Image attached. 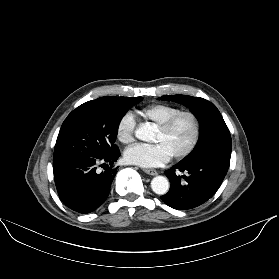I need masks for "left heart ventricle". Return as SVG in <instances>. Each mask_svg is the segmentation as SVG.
I'll return each mask as SVG.
<instances>
[{"instance_id":"b2bd125f","label":"left heart ventricle","mask_w":279,"mask_h":279,"mask_svg":"<svg viewBox=\"0 0 279 279\" xmlns=\"http://www.w3.org/2000/svg\"><path fill=\"white\" fill-rule=\"evenodd\" d=\"M193 135V123L188 116L177 120L168 133L157 131L155 142L163 143L171 155L182 151L190 142Z\"/></svg>"}]
</instances>
